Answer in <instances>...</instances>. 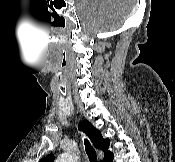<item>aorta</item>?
Instances as JSON below:
<instances>
[{
    "instance_id": "obj_1",
    "label": "aorta",
    "mask_w": 175,
    "mask_h": 162,
    "mask_svg": "<svg viewBox=\"0 0 175 162\" xmlns=\"http://www.w3.org/2000/svg\"><path fill=\"white\" fill-rule=\"evenodd\" d=\"M56 162H78V160L75 154L65 152L58 157Z\"/></svg>"
}]
</instances>
